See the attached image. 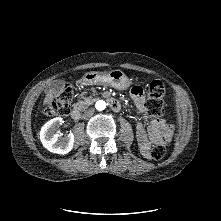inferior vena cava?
<instances>
[{"mask_svg":"<svg viewBox=\"0 0 221 221\" xmlns=\"http://www.w3.org/2000/svg\"><path fill=\"white\" fill-rule=\"evenodd\" d=\"M94 114V108H89L88 110H86L83 114L84 118L90 117Z\"/></svg>","mask_w":221,"mask_h":221,"instance_id":"inferior-vena-cava-1","label":"inferior vena cava"}]
</instances>
